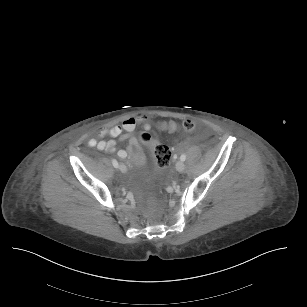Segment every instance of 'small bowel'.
Wrapping results in <instances>:
<instances>
[{"instance_id":"small-bowel-1","label":"small bowel","mask_w":307,"mask_h":307,"mask_svg":"<svg viewBox=\"0 0 307 307\" xmlns=\"http://www.w3.org/2000/svg\"><path fill=\"white\" fill-rule=\"evenodd\" d=\"M151 126L149 117L146 115H140L135 117H129L125 119L121 125H116L111 128L102 130L98 134V138H92L88 141L89 146L97 147L102 151L109 153H116L117 156L130 162L135 163L138 166H142L146 162V154L140 143V140L134 135L137 127ZM104 136H109L112 139L103 140ZM115 138L128 141L129 145L127 149H117Z\"/></svg>"}]
</instances>
